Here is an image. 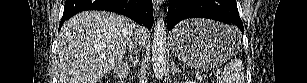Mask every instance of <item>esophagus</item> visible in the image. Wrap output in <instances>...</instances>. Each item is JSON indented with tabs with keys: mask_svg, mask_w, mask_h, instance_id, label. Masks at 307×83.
<instances>
[{
	"mask_svg": "<svg viewBox=\"0 0 307 83\" xmlns=\"http://www.w3.org/2000/svg\"><path fill=\"white\" fill-rule=\"evenodd\" d=\"M160 4H161L160 0H153V8H154L155 14L158 13Z\"/></svg>",
	"mask_w": 307,
	"mask_h": 83,
	"instance_id": "34e87169",
	"label": "esophagus"
}]
</instances>
